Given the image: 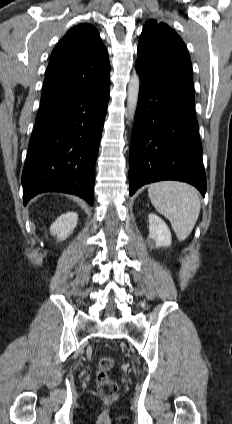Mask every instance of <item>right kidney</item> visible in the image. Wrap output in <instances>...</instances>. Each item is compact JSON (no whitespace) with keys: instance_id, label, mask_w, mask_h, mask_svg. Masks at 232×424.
Instances as JSON below:
<instances>
[{"instance_id":"obj_1","label":"right kidney","mask_w":232,"mask_h":424,"mask_svg":"<svg viewBox=\"0 0 232 424\" xmlns=\"http://www.w3.org/2000/svg\"><path fill=\"white\" fill-rule=\"evenodd\" d=\"M78 214L75 212H67L62 214L51 225L50 232L57 236L59 241L65 240L74 230L77 225Z\"/></svg>"}]
</instances>
